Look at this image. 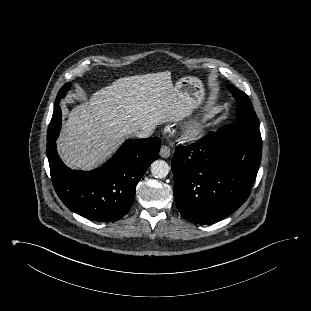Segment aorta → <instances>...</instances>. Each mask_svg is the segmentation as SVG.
I'll return each mask as SVG.
<instances>
[{"label":"aorta","instance_id":"762f6f07","mask_svg":"<svg viewBox=\"0 0 311 311\" xmlns=\"http://www.w3.org/2000/svg\"><path fill=\"white\" fill-rule=\"evenodd\" d=\"M151 173L155 178H165L169 173V165L163 160H156L151 164Z\"/></svg>","mask_w":311,"mask_h":311}]
</instances>
